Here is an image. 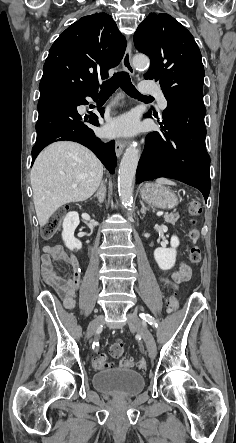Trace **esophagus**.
Listing matches in <instances>:
<instances>
[{
  "instance_id": "34e87169",
  "label": "esophagus",
  "mask_w": 236,
  "mask_h": 443,
  "mask_svg": "<svg viewBox=\"0 0 236 443\" xmlns=\"http://www.w3.org/2000/svg\"><path fill=\"white\" fill-rule=\"evenodd\" d=\"M123 68L126 72H128L130 75H134L135 70L132 65V42L129 41L123 60H122ZM128 145L127 141L124 140H117L115 143V150L117 157H120L125 147Z\"/></svg>"
}]
</instances>
